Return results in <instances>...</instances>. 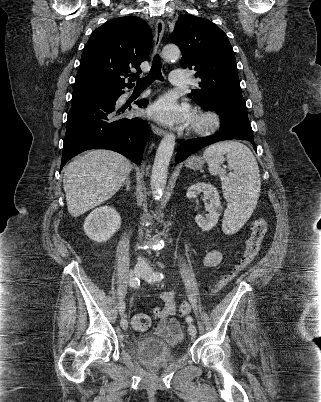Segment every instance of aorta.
Returning a JSON list of instances; mask_svg holds the SVG:
<instances>
[{
  "label": "aorta",
  "instance_id": "762f6f07",
  "mask_svg": "<svg viewBox=\"0 0 321 402\" xmlns=\"http://www.w3.org/2000/svg\"><path fill=\"white\" fill-rule=\"evenodd\" d=\"M180 56V50L176 45H167L162 50V57L166 60H176ZM175 147V135L167 133L161 140L156 152L152 175L151 189L155 197L162 196L167 182L169 163Z\"/></svg>",
  "mask_w": 321,
  "mask_h": 402
}]
</instances>
